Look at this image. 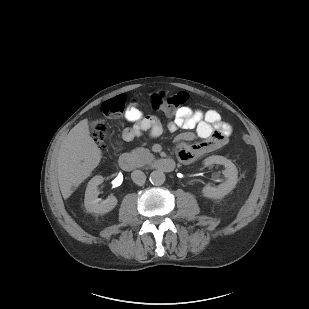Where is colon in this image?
<instances>
[{
  "instance_id": "colon-1",
  "label": "colon",
  "mask_w": 309,
  "mask_h": 309,
  "mask_svg": "<svg viewBox=\"0 0 309 309\" xmlns=\"http://www.w3.org/2000/svg\"><path fill=\"white\" fill-rule=\"evenodd\" d=\"M187 101V94L178 92L172 95L166 93L154 94L151 98V104L155 110L161 111L167 115H173L177 108ZM126 98L119 96L114 99L107 100L101 105V112L108 118H120L125 109ZM94 138L99 145L101 151L107 149L106 142L109 138V131L104 124H98L94 130ZM242 140L245 144H251L252 138L250 134L243 133Z\"/></svg>"
}]
</instances>
